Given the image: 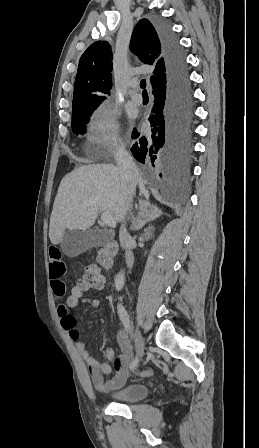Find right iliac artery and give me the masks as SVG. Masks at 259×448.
Here are the masks:
<instances>
[{
  "mask_svg": "<svg viewBox=\"0 0 259 448\" xmlns=\"http://www.w3.org/2000/svg\"><path fill=\"white\" fill-rule=\"evenodd\" d=\"M117 311H118V315H119V317H120V319H121V321H122V323H123V325L125 327L126 332L130 333V320H129V316L127 314V311L125 310V308L121 304H118ZM138 363H139V359L136 356L133 359V361L131 362V364H130V369L131 370L135 369L138 366Z\"/></svg>",
  "mask_w": 259,
  "mask_h": 448,
  "instance_id": "82829eb1",
  "label": "right iliac artery"
}]
</instances>
